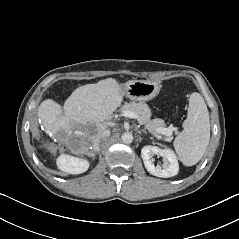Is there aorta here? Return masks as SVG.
<instances>
[{"instance_id": "1", "label": "aorta", "mask_w": 239, "mask_h": 239, "mask_svg": "<svg viewBox=\"0 0 239 239\" xmlns=\"http://www.w3.org/2000/svg\"><path fill=\"white\" fill-rule=\"evenodd\" d=\"M122 142L125 144H130L133 141V135L130 132H125L121 136Z\"/></svg>"}]
</instances>
